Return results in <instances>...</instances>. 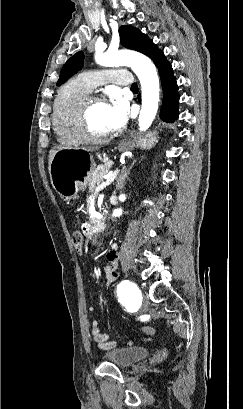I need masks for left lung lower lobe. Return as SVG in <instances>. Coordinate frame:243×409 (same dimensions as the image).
<instances>
[{
  "instance_id": "obj_1",
  "label": "left lung lower lobe",
  "mask_w": 243,
  "mask_h": 409,
  "mask_svg": "<svg viewBox=\"0 0 243 409\" xmlns=\"http://www.w3.org/2000/svg\"><path fill=\"white\" fill-rule=\"evenodd\" d=\"M163 88V104L160 118L168 123L178 119L179 93L176 78L170 63H164L158 67Z\"/></svg>"
}]
</instances>
